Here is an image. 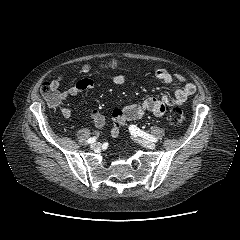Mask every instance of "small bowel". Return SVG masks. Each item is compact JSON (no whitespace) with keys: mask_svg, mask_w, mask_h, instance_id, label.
Listing matches in <instances>:
<instances>
[{"mask_svg":"<svg viewBox=\"0 0 240 240\" xmlns=\"http://www.w3.org/2000/svg\"><path fill=\"white\" fill-rule=\"evenodd\" d=\"M154 76L168 85H172L176 81L180 82L182 85L176 88L174 93L171 95L165 94L161 97H149L140 103H130L122 108L114 109L112 112V137H117L119 135L120 129L127 121L137 120L146 112H150L159 117L165 114L167 107L183 106L187 99L196 91L195 85L192 82L187 81L180 74L172 73L166 69L160 68L154 72ZM62 79L63 76L60 75L49 82L59 98V105L69 97L76 96L81 92L95 88L93 80L84 78L77 81L73 86L59 91L58 88ZM125 80V75H115L111 77L110 82L114 85H122ZM88 113L97 128H102L105 125L106 119L98 109L90 107ZM61 114L64 118L69 119L72 116V111L68 106H63L61 108Z\"/></svg>","mask_w":240,"mask_h":240,"instance_id":"c3829d8e","label":"small bowel"}]
</instances>
